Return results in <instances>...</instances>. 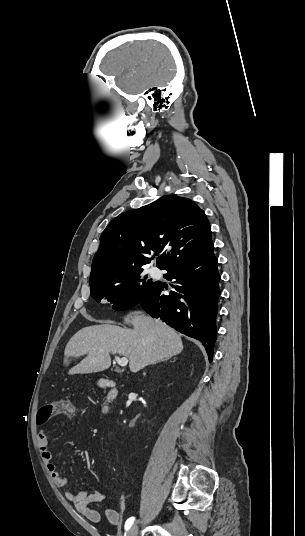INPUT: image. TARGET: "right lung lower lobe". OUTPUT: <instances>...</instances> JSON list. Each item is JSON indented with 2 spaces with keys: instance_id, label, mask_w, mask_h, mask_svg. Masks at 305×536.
<instances>
[{
  "instance_id": "98d812e1",
  "label": "right lung lower lobe",
  "mask_w": 305,
  "mask_h": 536,
  "mask_svg": "<svg viewBox=\"0 0 305 536\" xmlns=\"http://www.w3.org/2000/svg\"><path fill=\"white\" fill-rule=\"evenodd\" d=\"M212 244L204 251L176 261L164 270L167 279H174L176 291L162 294L157 283L138 303L151 316L162 319L177 331L195 338L204 345L212 360L216 341V315L220 274Z\"/></svg>"
}]
</instances>
